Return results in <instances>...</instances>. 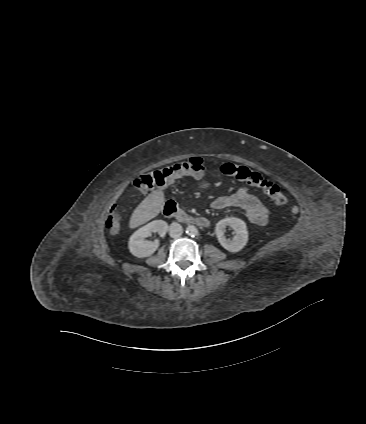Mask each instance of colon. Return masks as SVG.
Segmentation results:
<instances>
[{
    "label": "colon",
    "mask_w": 366,
    "mask_h": 424,
    "mask_svg": "<svg viewBox=\"0 0 366 424\" xmlns=\"http://www.w3.org/2000/svg\"><path fill=\"white\" fill-rule=\"evenodd\" d=\"M205 172V165L200 157H191L182 162L171 164L154 171H148L140 175L134 181L137 190L151 189L155 186H166L181 177H200ZM222 175L245 182L257 187L268 196L275 204L284 205L287 198L275 183L265 179L260 173L249 167L237 163H224L220 167ZM291 217L297 216L299 209L295 205L288 208ZM120 213L116 207L106 219V227L111 232H117L120 228Z\"/></svg>",
    "instance_id": "1"
}]
</instances>
